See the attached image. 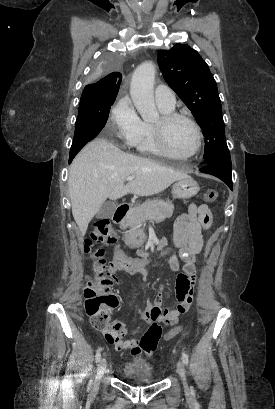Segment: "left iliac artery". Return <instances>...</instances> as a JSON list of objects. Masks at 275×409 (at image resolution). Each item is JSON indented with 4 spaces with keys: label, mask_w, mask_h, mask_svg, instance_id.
<instances>
[{
    "label": "left iliac artery",
    "mask_w": 275,
    "mask_h": 409,
    "mask_svg": "<svg viewBox=\"0 0 275 409\" xmlns=\"http://www.w3.org/2000/svg\"><path fill=\"white\" fill-rule=\"evenodd\" d=\"M182 360L185 365H188L189 363L188 355L184 352L182 353Z\"/></svg>",
    "instance_id": "1"
}]
</instances>
